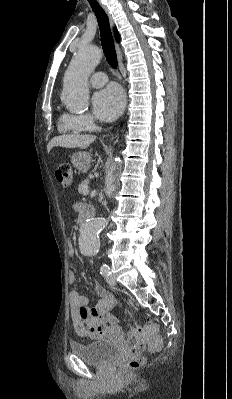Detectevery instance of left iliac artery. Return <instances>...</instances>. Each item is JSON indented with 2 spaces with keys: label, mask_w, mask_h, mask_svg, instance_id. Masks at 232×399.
<instances>
[{
  "label": "left iliac artery",
  "mask_w": 232,
  "mask_h": 399,
  "mask_svg": "<svg viewBox=\"0 0 232 399\" xmlns=\"http://www.w3.org/2000/svg\"><path fill=\"white\" fill-rule=\"evenodd\" d=\"M100 273H101L102 275H107V276H109V275L111 274L109 265L106 264V263L102 264V266H101V272H100Z\"/></svg>",
  "instance_id": "left-iliac-artery-1"
}]
</instances>
